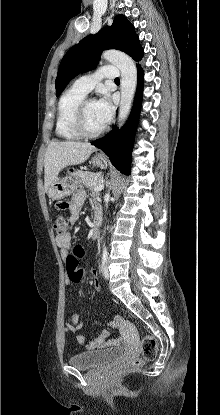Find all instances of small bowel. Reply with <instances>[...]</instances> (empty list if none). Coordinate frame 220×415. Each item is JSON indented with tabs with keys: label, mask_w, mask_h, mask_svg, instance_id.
<instances>
[{
	"label": "small bowel",
	"mask_w": 220,
	"mask_h": 415,
	"mask_svg": "<svg viewBox=\"0 0 220 415\" xmlns=\"http://www.w3.org/2000/svg\"><path fill=\"white\" fill-rule=\"evenodd\" d=\"M85 200V192L79 190L72 198L70 204L68 205V211L70 213L69 222L70 225H74L81 214L82 206ZM101 212L99 203L97 200L94 201V216ZM56 243L61 249L63 256H65L69 249L71 248V233L70 230L66 231L63 234H59L56 237ZM94 276V285L99 290L101 285L100 281L97 278L96 274L93 272ZM82 325L78 323V317L76 314L71 315L70 320L67 325V329L72 333H77L81 329ZM76 340L78 343L84 345L88 350L110 348L120 345L119 340L109 339V332L106 329H103L99 336L92 342H87L86 337L82 334H77Z\"/></svg>",
	"instance_id": "small-bowel-1"
}]
</instances>
